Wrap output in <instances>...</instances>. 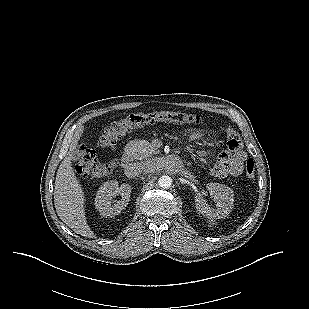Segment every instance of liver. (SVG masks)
I'll list each match as a JSON object with an SVG mask.
<instances>
[{
	"mask_svg": "<svg viewBox=\"0 0 309 309\" xmlns=\"http://www.w3.org/2000/svg\"><path fill=\"white\" fill-rule=\"evenodd\" d=\"M83 133L80 127L74 134L69 152L59 165L54 188V205L59 218L81 236L94 238L95 235L86 221L84 193L71 166V152L78 146Z\"/></svg>",
	"mask_w": 309,
	"mask_h": 309,
	"instance_id": "6515ba94",
	"label": "liver"
}]
</instances>
